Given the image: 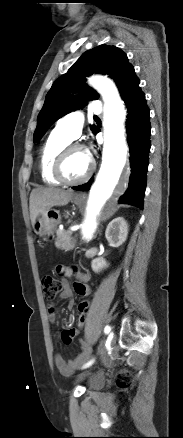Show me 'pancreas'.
Instances as JSON below:
<instances>
[{
	"mask_svg": "<svg viewBox=\"0 0 183 438\" xmlns=\"http://www.w3.org/2000/svg\"><path fill=\"white\" fill-rule=\"evenodd\" d=\"M57 238L55 241L56 248L60 250L69 251L75 248L76 240L72 238V232L65 230H57L56 231Z\"/></svg>",
	"mask_w": 183,
	"mask_h": 438,
	"instance_id": "1",
	"label": "pancreas"
}]
</instances>
